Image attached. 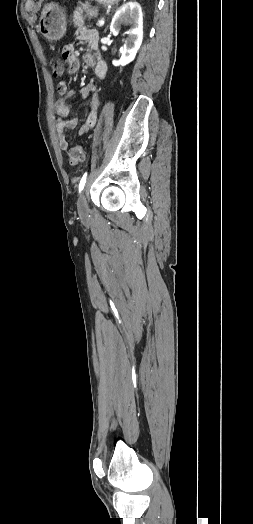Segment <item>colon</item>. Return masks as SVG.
Returning <instances> with one entry per match:
<instances>
[{
    "mask_svg": "<svg viewBox=\"0 0 253 524\" xmlns=\"http://www.w3.org/2000/svg\"><path fill=\"white\" fill-rule=\"evenodd\" d=\"M52 74L54 78H60L65 73L64 68L66 66L64 60L59 57H53L50 61ZM85 158V152L83 147L74 146L68 151V161L70 165H78L83 162Z\"/></svg>",
    "mask_w": 253,
    "mask_h": 524,
    "instance_id": "1",
    "label": "colon"
}]
</instances>
